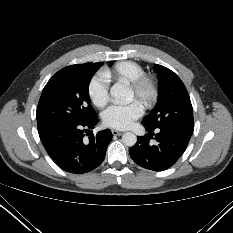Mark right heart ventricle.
Masks as SVG:
<instances>
[{
    "label": "right heart ventricle",
    "mask_w": 233,
    "mask_h": 233,
    "mask_svg": "<svg viewBox=\"0 0 233 233\" xmlns=\"http://www.w3.org/2000/svg\"><path fill=\"white\" fill-rule=\"evenodd\" d=\"M109 81L112 79L131 83L144 74L143 67L134 61H120L114 64L111 69L101 72Z\"/></svg>",
    "instance_id": "1"
}]
</instances>
